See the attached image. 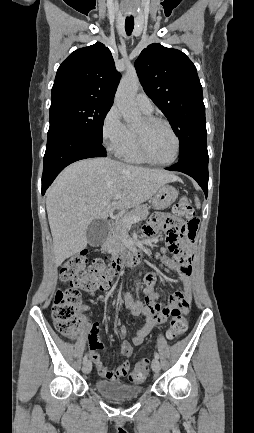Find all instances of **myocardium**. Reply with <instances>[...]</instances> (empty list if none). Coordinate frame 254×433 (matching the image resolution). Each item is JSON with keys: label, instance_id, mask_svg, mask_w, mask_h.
I'll return each instance as SVG.
<instances>
[{"label": "myocardium", "instance_id": "1", "mask_svg": "<svg viewBox=\"0 0 254 433\" xmlns=\"http://www.w3.org/2000/svg\"><path fill=\"white\" fill-rule=\"evenodd\" d=\"M145 122L149 127L155 126V125L165 126L169 130V132L172 134V136L175 140V143H176V148H175L174 156L171 160L166 161V162L157 161L150 155V153L147 149V146H146L144 136L141 133L135 131V138H136L138 151H139L140 155L142 156V158L146 162L153 164V165H157V166H170V165L174 164L177 161V159L180 155V150H181V142H180L179 136L177 135L176 131L173 129V127L170 125L169 122H167L166 120L161 119V118L146 117Z\"/></svg>", "mask_w": 254, "mask_h": 433}]
</instances>
